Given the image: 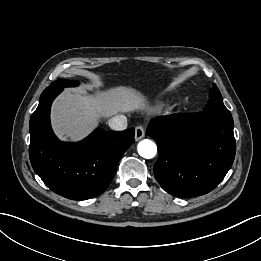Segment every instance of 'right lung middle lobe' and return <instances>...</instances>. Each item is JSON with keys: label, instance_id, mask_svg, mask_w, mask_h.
<instances>
[{"label": "right lung middle lobe", "instance_id": "1", "mask_svg": "<svg viewBox=\"0 0 261 261\" xmlns=\"http://www.w3.org/2000/svg\"><path fill=\"white\" fill-rule=\"evenodd\" d=\"M77 84H78V82H76V81L58 79V80L54 81L53 83H51V85L49 87L63 88V87H67V86H74Z\"/></svg>", "mask_w": 261, "mask_h": 261}]
</instances>
